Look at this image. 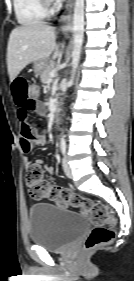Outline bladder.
Instances as JSON below:
<instances>
[{
  "label": "bladder",
  "instance_id": "1",
  "mask_svg": "<svg viewBox=\"0 0 134 281\" xmlns=\"http://www.w3.org/2000/svg\"><path fill=\"white\" fill-rule=\"evenodd\" d=\"M29 218L31 242L56 252L65 250L89 226L84 215L48 203L32 205Z\"/></svg>",
  "mask_w": 134,
  "mask_h": 281
}]
</instances>
